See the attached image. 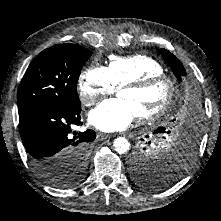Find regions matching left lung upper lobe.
I'll use <instances>...</instances> for the list:
<instances>
[{"mask_svg": "<svg viewBox=\"0 0 221 221\" xmlns=\"http://www.w3.org/2000/svg\"><path fill=\"white\" fill-rule=\"evenodd\" d=\"M162 56L172 68L176 77L181 80L186 72L179 59L166 49H161ZM144 150H146L144 148ZM180 159L174 156L152 157L145 151L132 154L130 165L131 175L138 184L148 188H164L174 179L177 168L182 165Z\"/></svg>", "mask_w": 221, "mask_h": 221, "instance_id": "5c2ea615", "label": "left lung upper lobe"}]
</instances>
